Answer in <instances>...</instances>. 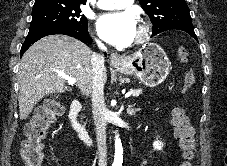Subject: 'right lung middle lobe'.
Listing matches in <instances>:
<instances>
[{
    "label": "right lung middle lobe",
    "mask_w": 227,
    "mask_h": 166,
    "mask_svg": "<svg viewBox=\"0 0 227 166\" xmlns=\"http://www.w3.org/2000/svg\"><path fill=\"white\" fill-rule=\"evenodd\" d=\"M29 34L48 28L87 30L88 23L79 4L42 3L33 6Z\"/></svg>",
    "instance_id": "obj_1"
}]
</instances>
